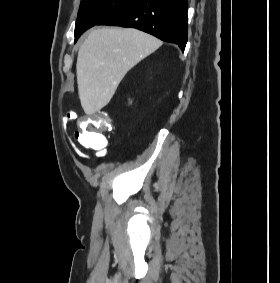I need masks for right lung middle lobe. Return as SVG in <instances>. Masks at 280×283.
<instances>
[{
  "instance_id": "right-lung-middle-lobe-1",
  "label": "right lung middle lobe",
  "mask_w": 280,
  "mask_h": 283,
  "mask_svg": "<svg viewBox=\"0 0 280 283\" xmlns=\"http://www.w3.org/2000/svg\"><path fill=\"white\" fill-rule=\"evenodd\" d=\"M134 0H81L75 25V42L87 29L98 25Z\"/></svg>"
}]
</instances>
